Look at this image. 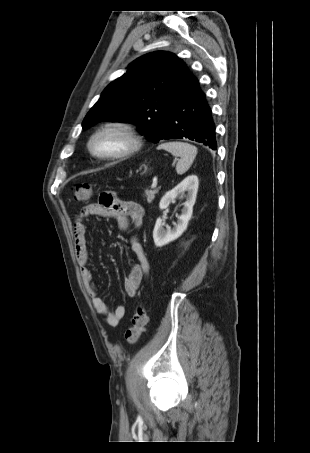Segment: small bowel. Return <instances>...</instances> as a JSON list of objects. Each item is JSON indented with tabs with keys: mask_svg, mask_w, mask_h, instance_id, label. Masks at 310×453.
I'll use <instances>...</instances> for the list:
<instances>
[{
	"mask_svg": "<svg viewBox=\"0 0 310 453\" xmlns=\"http://www.w3.org/2000/svg\"><path fill=\"white\" fill-rule=\"evenodd\" d=\"M93 215L113 217L117 219L120 228L126 230L130 223L135 227L141 226L144 222L145 212L143 207L138 203L121 200L115 196L109 206L104 207L99 201L83 207L79 211L74 224L75 253L78 264L80 265L81 277L85 289L91 297L95 311L104 316L105 324L115 327L125 316V306L119 304L113 310L109 309L104 300L98 295L92 271L87 267L89 253L86 241L87 228L85 220ZM129 244L139 261L138 264H135L131 268L130 273L124 280L126 294L133 297L137 294L141 282L148 274L149 264L139 240L136 237H131Z\"/></svg>",
	"mask_w": 310,
	"mask_h": 453,
	"instance_id": "small-bowel-1",
	"label": "small bowel"
}]
</instances>
